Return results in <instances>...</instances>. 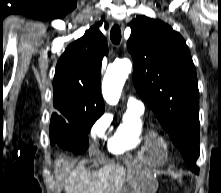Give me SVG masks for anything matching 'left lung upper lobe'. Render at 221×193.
Instances as JSON below:
<instances>
[{
    "label": "left lung upper lobe",
    "mask_w": 221,
    "mask_h": 193,
    "mask_svg": "<svg viewBox=\"0 0 221 193\" xmlns=\"http://www.w3.org/2000/svg\"><path fill=\"white\" fill-rule=\"evenodd\" d=\"M127 43L134 62L133 82L187 164L199 149L197 75L183 37L161 20L140 16L130 23Z\"/></svg>",
    "instance_id": "5c2ea615"
}]
</instances>
